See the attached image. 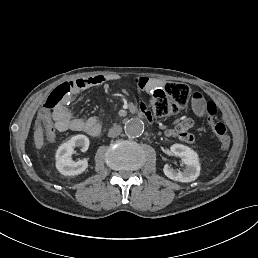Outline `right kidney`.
<instances>
[{"mask_svg":"<svg viewBox=\"0 0 258 258\" xmlns=\"http://www.w3.org/2000/svg\"><path fill=\"white\" fill-rule=\"evenodd\" d=\"M75 147H81L82 152H86L89 148V139L87 136L79 134L61 144L56 151V168L66 176L78 175L88 167L87 159H81L77 162L72 160V154Z\"/></svg>","mask_w":258,"mask_h":258,"instance_id":"obj_1","label":"right kidney"}]
</instances>
